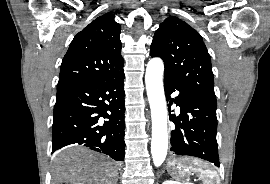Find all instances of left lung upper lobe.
<instances>
[{
  "instance_id": "obj_1",
  "label": "left lung upper lobe",
  "mask_w": 270,
  "mask_h": 184,
  "mask_svg": "<svg viewBox=\"0 0 270 184\" xmlns=\"http://www.w3.org/2000/svg\"><path fill=\"white\" fill-rule=\"evenodd\" d=\"M150 55L162 58L166 75L217 105L210 55L200 34L186 22L166 18L154 34Z\"/></svg>"
}]
</instances>
